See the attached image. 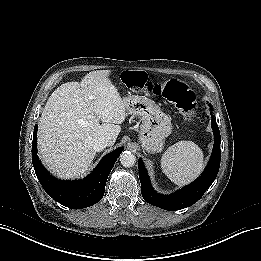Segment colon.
<instances>
[{
	"instance_id": "1",
	"label": "colon",
	"mask_w": 261,
	"mask_h": 261,
	"mask_svg": "<svg viewBox=\"0 0 261 261\" xmlns=\"http://www.w3.org/2000/svg\"><path fill=\"white\" fill-rule=\"evenodd\" d=\"M127 81L134 89L144 90L153 95H161L188 118L195 116V94L182 81L171 79L165 83L156 82L152 75L143 71L129 72Z\"/></svg>"
}]
</instances>
